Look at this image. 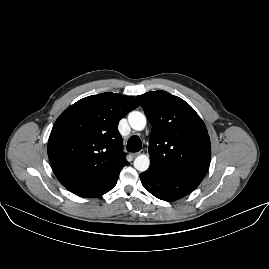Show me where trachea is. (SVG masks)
<instances>
[{
	"label": "trachea",
	"mask_w": 269,
	"mask_h": 269,
	"mask_svg": "<svg viewBox=\"0 0 269 269\" xmlns=\"http://www.w3.org/2000/svg\"><path fill=\"white\" fill-rule=\"evenodd\" d=\"M141 146V139L136 135L131 136L127 142V150L129 152H139Z\"/></svg>",
	"instance_id": "1"
}]
</instances>
